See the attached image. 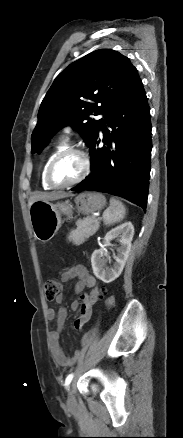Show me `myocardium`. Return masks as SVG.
I'll return each mask as SVG.
<instances>
[{"mask_svg": "<svg viewBox=\"0 0 183 438\" xmlns=\"http://www.w3.org/2000/svg\"><path fill=\"white\" fill-rule=\"evenodd\" d=\"M70 154H75L81 157L82 159V163H83V167H82V171L79 174V176L77 178H75L73 181L66 183V184H57L55 182H53L52 180V170L56 164V162L61 159L64 156L70 155ZM92 169V162H91V158L88 154V152H86L83 149L80 148H76V147H67L63 150H61L60 152H58L49 162L47 169H46V173H45V178L47 183L53 188V189H63V188H68L74 185L79 184L80 182H82L83 180H85V178L89 175V173L91 172Z\"/></svg>", "mask_w": 183, "mask_h": 438, "instance_id": "myocardium-1", "label": "myocardium"}]
</instances>
